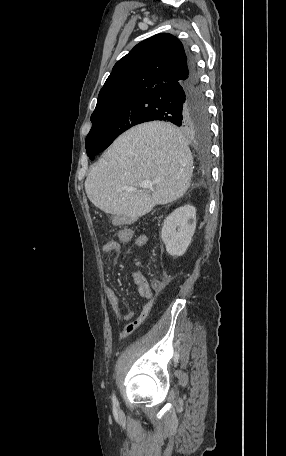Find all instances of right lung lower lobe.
Returning a JSON list of instances; mask_svg holds the SVG:
<instances>
[{
  "label": "right lung lower lobe",
  "instance_id": "1",
  "mask_svg": "<svg viewBox=\"0 0 286 456\" xmlns=\"http://www.w3.org/2000/svg\"><path fill=\"white\" fill-rule=\"evenodd\" d=\"M143 122L161 120L191 131L208 116L196 63L188 54L187 75L137 95Z\"/></svg>",
  "mask_w": 286,
  "mask_h": 456
}]
</instances>
